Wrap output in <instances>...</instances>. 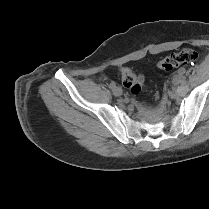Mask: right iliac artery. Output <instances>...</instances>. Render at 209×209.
Here are the masks:
<instances>
[{"mask_svg": "<svg viewBox=\"0 0 209 209\" xmlns=\"http://www.w3.org/2000/svg\"><path fill=\"white\" fill-rule=\"evenodd\" d=\"M109 87H110L111 89H114V88L116 87V83L112 81V82L110 83Z\"/></svg>", "mask_w": 209, "mask_h": 209, "instance_id": "1", "label": "right iliac artery"}]
</instances>
